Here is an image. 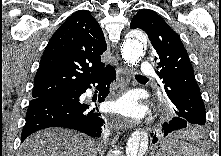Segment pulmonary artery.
Listing matches in <instances>:
<instances>
[{
    "label": "pulmonary artery",
    "instance_id": "pulmonary-artery-1",
    "mask_svg": "<svg viewBox=\"0 0 221 156\" xmlns=\"http://www.w3.org/2000/svg\"><path fill=\"white\" fill-rule=\"evenodd\" d=\"M141 74L144 76L151 75L154 73L153 66L149 62H143L140 68Z\"/></svg>",
    "mask_w": 221,
    "mask_h": 156
}]
</instances>
